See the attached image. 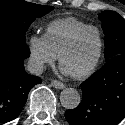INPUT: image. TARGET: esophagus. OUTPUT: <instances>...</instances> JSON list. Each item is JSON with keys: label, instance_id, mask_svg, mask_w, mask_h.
<instances>
[{"label": "esophagus", "instance_id": "esophagus-1", "mask_svg": "<svg viewBox=\"0 0 125 125\" xmlns=\"http://www.w3.org/2000/svg\"><path fill=\"white\" fill-rule=\"evenodd\" d=\"M51 84L56 89H63L65 87L64 84L58 80H52Z\"/></svg>", "mask_w": 125, "mask_h": 125}]
</instances>
